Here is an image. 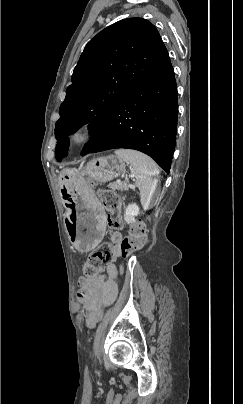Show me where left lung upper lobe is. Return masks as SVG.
<instances>
[{"label":"left lung upper lobe","mask_w":243,"mask_h":404,"mask_svg":"<svg viewBox=\"0 0 243 404\" xmlns=\"http://www.w3.org/2000/svg\"><path fill=\"white\" fill-rule=\"evenodd\" d=\"M169 57L156 27L143 18L114 23L85 46L56 122L57 161L68 155L67 135L88 124L93 135L116 105Z\"/></svg>","instance_id":"obj_1"}]
</instances>
